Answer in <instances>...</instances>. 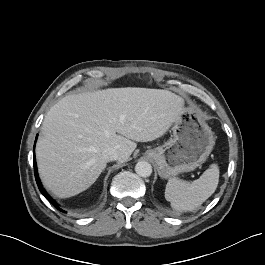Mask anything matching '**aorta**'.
Wrapping results in <instances>:
<instances>
[{
  "label": "aorta",
  "mask_w": 265,
  "mask_h": 265,
  "mask_svg": "<svg viewBox=\"0 0 265 265\" xmlns=\"http://www.w3.org/2000/svg\"><path fill=\"white\" fill-rule=\"evenodd\" d=\"M135 171L140 177L146 178L152 174V166L146 161H139L135 166Z\"/></svg>",
  "instance_id": "1"
}]
</instances>
